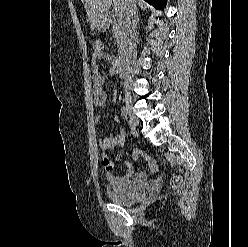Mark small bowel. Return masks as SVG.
<instances>
[{"label":"small bowel","instance_id":"small-bowel-1","mask_svg":"<svg viewBox=\"0 0 248 247\" xmlns=\"http://www.w3.org/2000/svg\"><path fill=\"white\" fill-rule=\"evenodd\" d=\"M99 61H105L110 65V73L117 74L119 71L118 60L111 54L100 52L94 53L92 56V93H93V105L95 108H99L103 106L107 100V94L105 91V78L99 72ZM95 123H99L101 121V116H95ZM126 133L120 132L116 135L106 136L100 139L99 146L103 151V165L106 170V177L111 182L114 188L116 189H126L138 184H142L147 180V174L145 172H139L135 175L134 178H130V175L133 172L132 165L124 161L127 167V175L120 177L116 176L113 173L114 162L107 154L108 151L112 149H117L123 146L125 141ZM115 161L122 160V157L117 155L114 158Z\"/></svg>","mask_w":248,"mask_h":247}]
</instances>
